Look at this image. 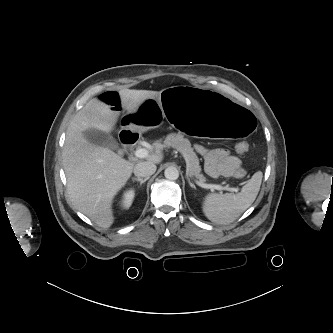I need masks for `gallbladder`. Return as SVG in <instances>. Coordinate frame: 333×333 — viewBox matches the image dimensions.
I'll return each instance as SVG.
<instances>
[{
  "label": "gallbladder",
  "instance_id": "bac80fb5",
  "mask_svg": "<svg viewBox=\"0 0 333 333\" xmlns=\"http://www.w3.org/2000/svg\"><path fill=\"white\" fill-rule=\"evenodd\" d=\"M84 135L88 141L95 145L109 148L116 151L118 154L122 153L118 142L109 133L97 129H89L84 132Z\"/></svg>",
  "mask_w": 333,
  "mask_h": 333
}]
</instances>
